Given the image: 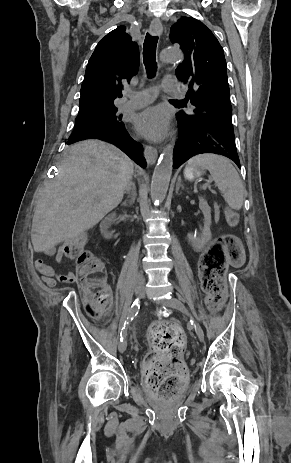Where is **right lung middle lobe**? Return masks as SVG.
Wrapping results in <instances>:
<instances>
[{
	"label": "right lung middle lobe",
	"mask_w": 291,
	"mask_h": 463,
	"mask_svg": "<svg viewBox=\"0 0 291 463\" xmlns=\"http://www.w3.org/2000/svg\"><path fill=\"white\" fill-rule=\"evenodd\" d=\"M116 111L117 109L113 108L85 117H76L75 127L69 138L77 137L92 131L110 130L122 127L124 125L121 122L122 116L116 115Z\"/></svg>",
	"instance_id": "1"
}]
</instances>
